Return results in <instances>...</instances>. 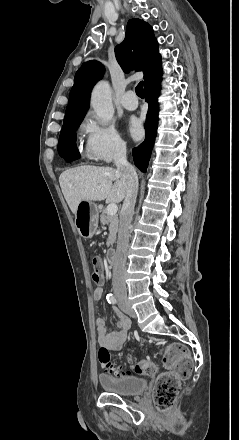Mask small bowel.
Listing matches in <instances>:
<instances>
[{"label": "small bowel", "instance_id": "small-bowel-1", "mask_svg": "<svg viewBox=\"0 0 239 440\" xmlns=\"http://www.w3.org/2000/svg\"><path fill=\"white\" fill-rule=\"evenodd\" d=\"M103 296V288L97 287L94 290L93 298L99 302ZM116 317L117 331L109 332L106 328L105 320L101 317L96 319V332L98 343L101 348L117 351L122 348L127 339V334L130 326V320L123 313L114 310Z\"/></svg>", "mask_w": 239, "mask_h": 440}]
</instances>
